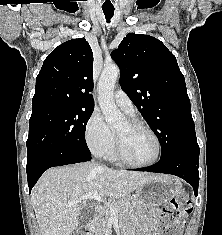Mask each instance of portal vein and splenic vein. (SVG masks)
Listing matches in <instances>:
<instances>
[{"label":"portal vein and splenic vein","instance_id":"obj_1","mask_svg":"<svg viewBox=\"0 0 222 235\" xmlns=\"http://www.w3.org/2000/svg\"><path fill=\"white\" fill-rule=\"evenodd\" d=\"M81 200H88V199H92V200H96L99 202H104L103 198L98 194L97 191H93L90 192L87 195H83L81 198ZM106 206L109 207L110 210V214L112 217H117L118 216V208L117 207H111L109 203L105 202Z\"/></svg>","mask_w":222,"mask_h":235}]
</instances>
